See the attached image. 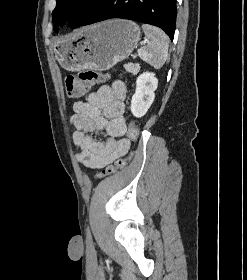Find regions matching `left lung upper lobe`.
<instances>
[{
	"label": "left lung upper lobe",
	"instance_id": "1",
	"mask_svg": "<svg viewBox=\"0 0 247 280\" xmlns=\"http://www.w3.org/2000/svg\"><path fill=\"white\" fill-rule=\"evenodd\" d=\"M52 13L54 27L67 18L71 20L70 28L78 27L85 18L105 0H56Z\"/></svg>",
	"mask_w": 247,
	"mask_h": 280
}]
</instances>
